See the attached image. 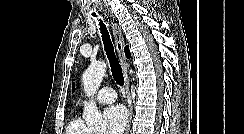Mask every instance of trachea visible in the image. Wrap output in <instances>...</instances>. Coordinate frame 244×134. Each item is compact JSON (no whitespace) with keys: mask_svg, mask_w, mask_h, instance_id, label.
Returning a JSON list of instances; mask_svg holds the SVG:
<instances>
[{"mask_svg":"<svg viewBox=\"0 0 244 134\" xmlns=\"http://www.w3.org/2000/svg\"><path fill=\"white\" fill-rule=\"evenodd\" d=\"M93 16L96 17V14H93ZM99 21H100L99 25H100L101 37H102V41L104 44V50L106 52L107 58H108L109 63H110L112 76H113L114 80L120 86H123L124 85V77H123L122 69H121L119 61L115 55L114 47H113V44L111 42L109 32H108L105 24L103 23V21H101V20H99Z\"/></svg>","mask_w":244,"mask_h":134,"instance_id":"3493384b","label":"trachea"}]
</instances>
